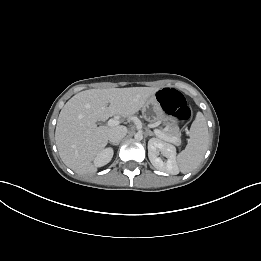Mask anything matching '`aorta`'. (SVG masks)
<instances>
[{"label":"aorta","mask_w":261,"mask_h":261,"mask_svg":"<svg viewBox=\"0 0 261 261\" xmlns=\"http://www.w3.org/2000/svg\"><path fill=\"white\" fill-rule=\"evenodd\" d=\"M134 138L136 140H142L143 139V134L141 132H137L135 135H134Z\"/></svg>","instance_id":"obj_1"}]
</instances>
